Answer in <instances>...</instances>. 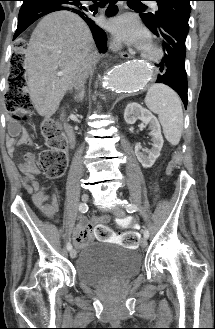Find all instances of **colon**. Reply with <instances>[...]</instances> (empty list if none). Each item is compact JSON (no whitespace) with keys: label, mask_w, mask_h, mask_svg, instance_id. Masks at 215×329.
<instances>
[{"label":"colon","mask_w":215,"mask_h":329,"mask_svg":"<svg viewBox=\"0 0 215 329\" xmlns=\"http://www.w3.org/2000/svg\"><path fill=\"white\" fill-rule=\"evenodd\" d=\"M17 49L12 55L9 86L6 93V105L9 111L15 114L17 120H25L33 111L26 78L24 74L25 55H22L21 44H33V37H16ZM41 134L47 142V149L43 150L38 158V163L45 176L49 179H57L63 176L67 167V155L65 152L66 138L59 130L58 124L52 120L42 123ZM121 226L127 222L121 221ZM131 231H138V224H131ZM114 235V233H113ZM139 236L135 232H125L121 238L122 245L129 249H136Z\"/></svg>","instance_id":"1"}]
</instances>
